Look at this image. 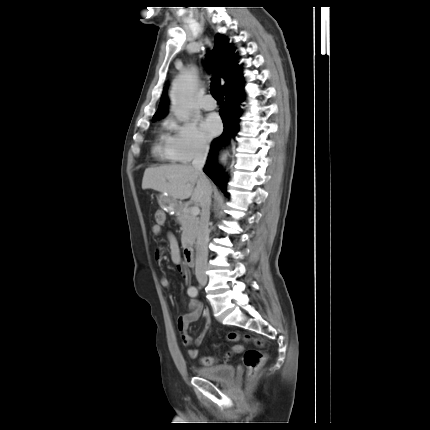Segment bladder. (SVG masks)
Listing matches in <instances>:
<instances>
[{"label": "bladder", "mask_w": 430, "mask_h": 430, "mask_svg": "<svg viewBox=\"0 0 430 430\" xmlns=\"http://www.w3.org/2000/svg\"><path fill=\"white\" fill-rule=\"evenodd\" d=\"M195 373L204 379L226 383L233 379L235 368L229 364H216L211 366H201L195 368Z\"/></svg>", "instance_id": "1"}]
</instances>
